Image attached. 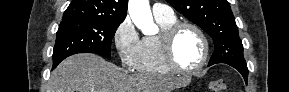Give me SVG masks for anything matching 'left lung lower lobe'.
Wrapping results in <instances>:
<instances>
[{"label": "left lung lower lobe", "mask_w": 289, "mask_h": 92, "mask_svg": "<svg viewBox=\"0 0 289 92\" xmlns=\"http://www.w3.org/2000/svg\"><path fill=\"white\" fill-rule=\"evenodd\" d=\"M229 65L237 69L241 73V75L244 77V80L247 83V78H248V73H249L247 65H235V64H229Z\"/></svg>", "instance_id": "0a47b994"}]
</instances>
